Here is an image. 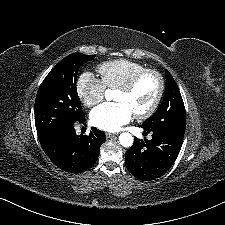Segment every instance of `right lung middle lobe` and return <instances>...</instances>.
Returning a JSON list of instances; mask_svg holds the SVG:
<instances>
[{
  "mask_svg": "<svg viewBox=\"0 0 225 225\" xmlns=\"http://www.w3.org/2000/svg\"><path fill=\"white\" fill-rule=\"evenodd\" d=\"M95 58L72 53L62 59L46 76L35 99V126L38 137L73 125L83 115L77 94L79 67Z\"/></svg>",
  "mask_w": 225,
  "mask_h": 225,
  "instance_id": "right-lung-middle-lobe-1",
  "label": "right lung middle lobe"
}]
</instances>
